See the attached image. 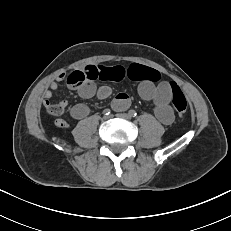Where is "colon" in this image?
Masks as SVG:
<instances>
[{
    "label": "colon",
    "mask_w": 231,
    "mask_h": 231,
    "mask_svg": "<svg viewBox=\"0 0 231 231\" xmlns=\"http://www.w3.org/2000/svg\"><path fill=\"white\" fill-rule=\"evenodd\" d=\"M142 72L145 78L151 80L154 83L161 80V74L157 70L144 67L142 69ZM83 82L84 76L79 71L72 72L66 80L67 85L71 88H78L83 84ZM169 84L172 90V105L177 114L182 117L185 115L187 110V100L181 89L175 83L171 82ZM46 109L49 113L57 116L63 113V107H61L60 105L50 104L46 107Z\"/></svg>",
    "instance_id": "5ec220e1"
}]
</instances>
